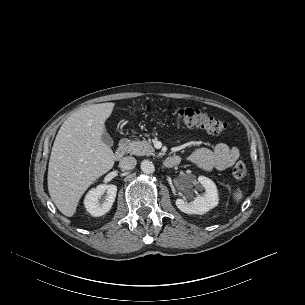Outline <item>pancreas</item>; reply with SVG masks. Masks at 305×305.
Instances as JSON below:
<instances>
[{"mask_svg": "<svg viewBox=\"0 0 305 305\" xmlns=\"http://www.w3.org/2000/svg\"><path fill=\"white\" fill-rule=\"evenodd\" d=\"M150 141H131L127 145V152L136 156L155 155Z\"/></svg>", "mask_w": 305, "mask_h": 305, "instance_id": "pancreas-1", "label": "pancreas"}]
</instances>
